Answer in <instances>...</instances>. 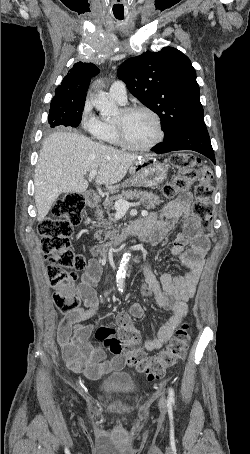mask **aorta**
Segmentation results:
<instances>
[{
    "mask_svg": "<svg viewBox=\"0 0 250 454\" xmlns=\"http://www.w3.org/2000/svg\"><path fill=\"white\" fill-rule=\"evenodd\" d=\"M92 103L96 109L102 113V115H112L117 111V105L103 91H99L96 94V96L92 99ZM130 259L131 254L125 253L117 271L116 283L120 292H123L124 289V281Z\"/></svg>",
    "mask_w": 250,
    "mask_h": 454,
    "instance_id": "1",
    "label": "aorta"
}]
</instances>
